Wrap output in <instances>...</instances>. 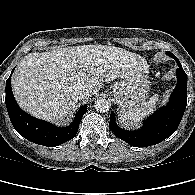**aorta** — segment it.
<instances>
[{"label": "aorta", "mask_w": 195, "mask_h": 195, "mask_svg": "<svg viewBox=\"0 0 195 195\" xmlns=\"http://www.w3.org/2000/svg\"><path fill=\"white\" fill-rule=\"evenodd\" d=\"M94 107L98 112L105 113L110 110L111 104L107 99L100 98L95 101Z\"/></svg>", "instance_id": "aorta-1"}]
</instances>
